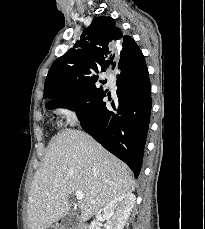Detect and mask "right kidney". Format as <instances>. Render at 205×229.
<instances>
[{"instance_id":"right-kidney-1","label":"right kidney","mask_w":205,"mask_h":229,"mask_svg":"<svg viewBox=\"0 0 205 229\" xmlns=\"http://www.w3.org/2000/svg\"><path fill=\"white\" fill-rule=\"evenodd\" d=\"M135 195L127 193L111 200L103 208L102 218L106 220V229H123L134 207ZM97 220V221H98ZM89 229H97V222H91Z\"/></svg>"}]
</instances>
